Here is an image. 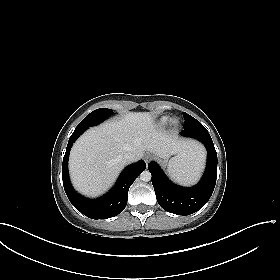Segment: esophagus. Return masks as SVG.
Returning a JSON list of instances; mask_svg holds the SVG:
<instances>
[{
  "instance_id": "obj_1",
  "label": "esophagus",
  "mask_w": 280,
  "mask_h": 280,
  "mask_svg": "<svg viewBox=\"0 0 280 280\" xmlns=\"http://www.w3.org/2000/svg\"><path fill=\"white\" fill-rule=\"evenodd\" d=\"M144 159L146 162H149L152 159V155L147 154V155H145Z\"/></svg>"
}]
</instances>
